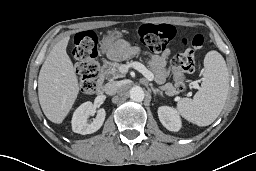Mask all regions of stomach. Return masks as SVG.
I'll list each match as a JSON object with an SVG mask.
<instances>
[{
    "mask_svg": "<svg viewBox=\"0 0 256 171\" xmlns=\"http://www.w3.org/2000/svg\"><path fill=\"white\" fill-rule=\"evenodd\" d=\"M123 36V33L119 30L109 31L101 41V50L107 54V56L114 60L122 58V53L119 50H114L115 43Z\"/></svg>",
    "mask_w": 256,
    "mask_h": 171,
    "instance_id": "stomach-1",
    "label": "stomach"
}]
</instances>
